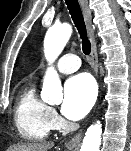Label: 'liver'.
<instances>
[{"mask_svg":"<svg viewBox=\"0 0 131 151\" xmlns=\"http://www.w3.org/2000/svg\"><path fill=\"white\" fill-rule=\"evenodd\" d=\"M53 146V143L45 142L23 143L10 147L8 151H48Z\"/></svg>","mask_w":131,"mask_h":151,"instance_id":"liver-1","label":"liver"}]
</instances>
